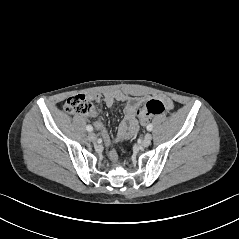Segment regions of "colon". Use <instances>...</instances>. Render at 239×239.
I'll use <instances>...</instances> for the list:
<instances>
[{"instance_id":"1","label":"colon","mask_w":239,"mask_h":239,"mask_svg":"<svg viewBox=\"0 0 239 239\" xmlns=\"http://www.w3.org/2000/svg\"><path fill=\"white\" fill-rule=\"evenodd\" d=\"M65 110L70 114L86 115L93 111V104L90 99L83 95L77 94L69 97L65 103ZM165 105L157 99L147 101L139 110V118L143 124H146L153 116L160 115L164 112Z\"/></svg>"}]
</instances>
